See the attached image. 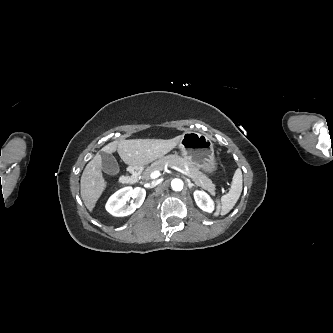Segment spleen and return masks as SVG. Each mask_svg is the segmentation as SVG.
Wrapping results in <instances>:
<instances>
[{
  "mask_svg": "<svg viewBox=\"0 0 333 333\" xmlns=\"http://www.w3.org/2000/svg\"><path fill=\"white\" fill-rule=\"evenodd\" d=\"M242 192V172L240 169H237L234 173L232 179V185L229 189V192L223 195L218 201L217 210L215 216L226 215L229 213L235 204L237 203Z\"/></svg>",
  "mask_w": 333,
  "mask_h": 333,
  "instance_id": "1",
  "label": "spleen"
}]
</instances>
